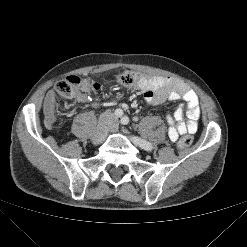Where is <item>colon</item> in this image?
Listing matches in <instances>:
<instances>
[{
	"mask_svg": "<svg viewBox=\"0 0 247 247\" xmlns=\"http://www.w3.org/2000/svg\"><path fill=\"white\" fill-rule=\"evenodd\" d=\"M145 74L125 71L116 76V81L122 86H133L148 80ZM100 84L90 79H84L77 76H70L66 80L59 82L56 86L57 94L64 99H73L76 97H84L90 92L98 91ZM193 138L186 134L178 141L180 148H186L192 144Z\"/></svg>",
	"mask_w": 247,
	"mask_h": 247,
	"instance_id": "5ec220e1",
	"label": "colon"
}]
</instances>
